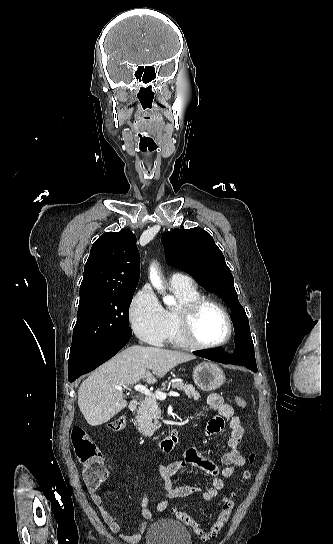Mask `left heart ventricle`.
<instances>
[{
	"label": "left heart ventricle",
	"mask_w": 333,
	"mask_h": 544,
	"mask_svg": "<svg viewBox=\"0 0 333 544\" xmlns=\"http://www.w3.org/2000/svg\"><path fill=\"white\" fill-rule=\"evenodd\" d=\"M227 323L223 313L214 305L205 306L196 321L195 332L202 343L222 341L227 335Z\"/></svg>",
	"instance_id": "left-heart-ventricle-1"
}]
</instances>
